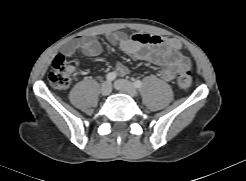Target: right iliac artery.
I'll return each instance as SVG.
<instances>
[{
	"label": "right iliac artery",
	"instance_id": "obj_1",
	"mask_svg": "<svg viewBox=\"0 0 246 181\" xmlns=\"http://www.w3.org/2000/svg\"><path fill=\"white\" fill-rule=\"evenodd\" d=\"M116 76H117L116 73L110 72L106 75V80L108 82H112L113 80H115Z\"/></svg>",
	"mask_w": 246,
	"mask_h": 181
}]
</instances>
